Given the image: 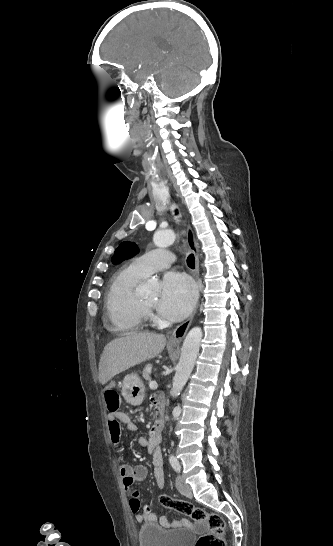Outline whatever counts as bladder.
Instances as JSON below:
<instances>
[{
	"label": "bladder",
	"instance_id": "31cf9c89",
	"mask_svg": "<svg viewBox=\"0 0 333 546\" xmlns=\"http://www.w3.org/2000/svg\"><path fill=\"white\" fill-rule=\"evenodd\" d=\"M138 540L140 546H192L194 534L188 529L165 530L145 522L139 528Z\"/></svg>",
	"mask_w": 333,
	"mask_h": 546
}]
</instances>
